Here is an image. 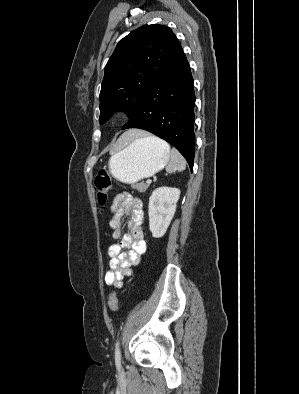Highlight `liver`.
<instances>
[{
    "instance_id": "1",
    "label": "liver",
    "mask_w": 299,
    "mask_h": 394,
    "mask_svg": "<svg viewBox=\"0 0 299 394\" xmlns=\"http://www.w3.org/2000/svg\"><path fill=\"white\" fill-rule=\"evenodd\" d=\"M147 134L140 130H129L124 133L121 137L120 144L126 145L127 143L133 141L134 139L145 137Z\"/></svg>"
}]
</instances>
